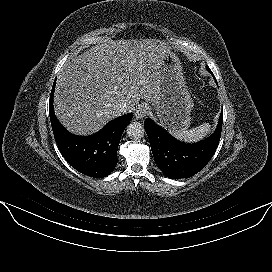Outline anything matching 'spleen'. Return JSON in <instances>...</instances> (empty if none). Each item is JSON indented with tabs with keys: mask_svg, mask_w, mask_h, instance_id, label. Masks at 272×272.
Returning <instances> with one entry per match:
<instances>
[{
	"mask_svg": "<svg viewBox=\"0 0 272 272\" xmlns=\"http://www.w3.org/2000/svg\"><path fill=\"white\" fill-rule=\"evenodd\" d=\"M210 127L211 125L209 123H204L190 130L186 129L178 132H172V135L180 140L195 142L204 138L208 134Z\"/></svg>",
	"mask_w": 272,
	"mask_h": 272,
	"instance_id": "3e777b00",
	"label": "spleen"
}]
</instances>
